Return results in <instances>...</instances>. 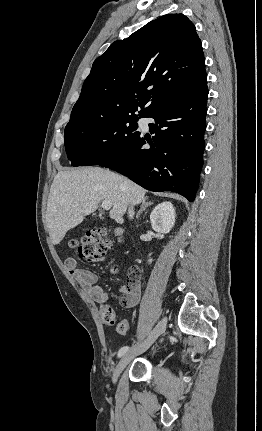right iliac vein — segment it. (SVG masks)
Segmentation results:
<instances>
[{
    "mask_svg": "<svg viewBox=\"0 0 262 431\" xmlns=\"http://www.w3.org/2000/svg\"><path fill=\"white\" fill-rule=\"evenodd\" d=\"M166 327V318H163L159 321L156 327L151 331L148 337L135 347L131 348L127 351L124 356L120 359L119 363L116 366V369L113 373V382L115 383L124 370V368L129 364V362L136 357L137 355L142 354L146 350L150 348V346L155 342L160 334H162Z\"/></svg>",
    "mask_w": 262,
    "mask_h": 431,
    "instance_id": "obj_1",
    "label": "right iliac vein"
}]
</instances>
